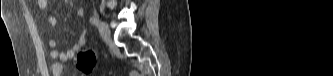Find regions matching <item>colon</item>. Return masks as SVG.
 Here are the masks:
<instances>
[{"instance_id": "obj_1", "label": "colon", "mask_w": 333, "mask_h": 76, "mask_svg": "<svg viewBox=\"0 0 333 76\" xmlns=\"http://www.w3.org/2000/svg\"><path fill=\"white\" fill-rule=\"evenodd\" d=\"M76 67L82 74H90L96 65V55L93 51L80 52L75 59ZM131 76H139L136 71H132Z\"/></svg>"}]
</instances>
